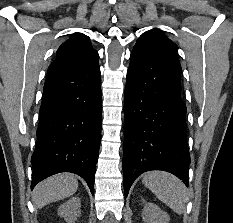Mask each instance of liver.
<instances>
[{"instance_id":"6515ba94","label":"liver","mask_w":233,"mask_h":223,"mask_svg":"<svg viewBox=\"0 0 233 223\" xmlns=\"http://www.w3.org/2000/svg\"><path fill=\"white\" fill-rule=\"evenodd\" d=\"M78 189V181L72 173H57L40 181L33 189L32 199L37 207H44L51 201L70 197Z\"/></svg>"}]
</instances>
